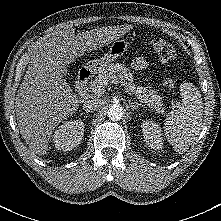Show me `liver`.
I'll return each instance as SVG.
<instances>
[{
    "label": "liver",
    "instance_id": "obj_1",
    "mask_svg": "<svg viewBox=\"0 0 221 221\" xmlns=\"http://www.w3.org/2000/svg\"><path fill=\"white\" fill-rule=\"evenodd\" d=\"M132 27L113 26L75 34L74 29L48 35L33 49L15 102L17 124L30 150L45 155L53 130L79 107L63 68L75 58L125 35Z\"/></svg>",
    "mask_w": 221,
    "mask_h": 221
}]
</instances>
